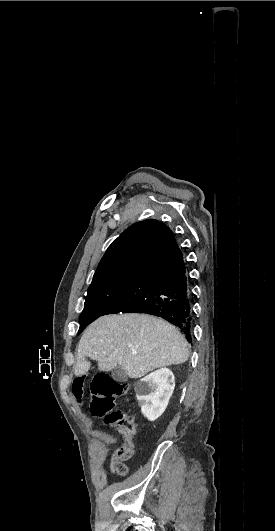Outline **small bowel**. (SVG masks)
<instances>
[{"label":"small bowel","mask_w":275,"mask_h":531,"mask_svg":"<svg viewBox=\"0 0 275 531\" xmlns=\"http://www.w3.org/2000/svg\"><path fill=\"white\" fill-rule=\"evenodd\" d=\"M118 448H124V445L122 444L121 446H119ZM131 448V454H132V447ZM113 458H116V457H113ZM121 476H124V475H121Z\"/></svg>","instance_id":"small-bowel-1"}]
</instances>
